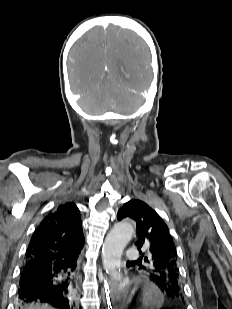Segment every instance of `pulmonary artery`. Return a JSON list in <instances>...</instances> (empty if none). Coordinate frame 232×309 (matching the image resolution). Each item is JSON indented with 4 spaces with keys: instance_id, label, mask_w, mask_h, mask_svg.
Masks as SVG:
<instances>
[{
    "instance_id": "obj_1",
    "label": "pulmonary artery",
    "mask_w": 232,
    "mask_h": 309,
    "mask_svg": "<svg viewBox=\"0 0 232 309\" xmlns=\"http://www.w3.org/2000/svg\"><path fill=\"white\" fill-rule=\"evenodd\" d=\"M139 257V253L136 249H129L126 252V258L129 260H136Z\"/></svg>"
}]
</instances>
